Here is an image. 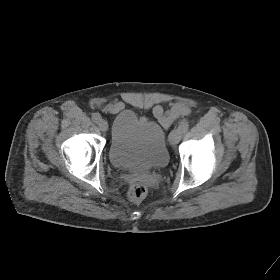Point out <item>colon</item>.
I'll return each instance as SVG.
<instances>
[{"label":"colon","instance_id":"1","mask_svg":"<svg viewBox=\"0 0 280 280\" xmlns=\"http://www.w3.org/2000/svg\"><path fill=\"white\" fill-rule=\"evenodd\" d=\"M147 194V187L140 182L134 183L128 190V198L132 202L142 201Z\"/></svg>","mask_w":280,"mask_h":280}]
</instances>
